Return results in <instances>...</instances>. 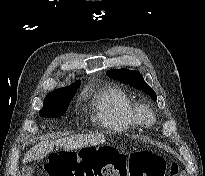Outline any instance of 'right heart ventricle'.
<instances>
[{
    "label": "right heart ventricle",
    "mask_w": 205,
    "mask_h": 176,
    "mask_svg": "<svg viewBox=\"0 0 205 176\" xmlns=\"http://www.w3.org/2000/svg\"><path fill=\"white\" fill-rule=\"evenodd\" d=\"M98 122L113 132H124L139 124L132 99L119 87L108 86L95 95Z\"/></svg>",
    "instance_id": "e07e8e85"
}]
</instances>
